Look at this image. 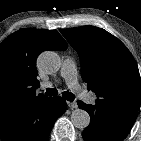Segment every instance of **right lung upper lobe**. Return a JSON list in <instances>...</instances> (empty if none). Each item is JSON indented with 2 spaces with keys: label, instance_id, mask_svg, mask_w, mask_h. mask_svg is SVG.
<instances>
[{
  "label": "right lung upper lobe",
  "instance_id": "cb5924a9",
  "mask_svg": "<svg viewBox=\"0 0 141 141\" xmlns=\"http://www.w3.org/2000/svg\"><path fill=\"white\" fill-rule=\"evenodd\" d=\"M67 47L57 31L43 29H21L0 44V118L13 109L49 98L36 95V59L43 51Z\"/></svg>",
  "mask_w": 141,
  "mask_h": 141
}]
</instances>
